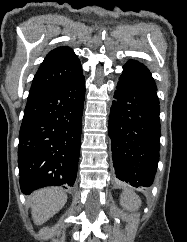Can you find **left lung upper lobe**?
Listing matches in <instances>:
<instances>
[{"mask_svg": "<svg viewBox=\"0 0 187 242\" xmlns=\"http://www.w3.org/2000/svg\"><path fill=\"white\" fill-rule=\"evenodd\" d=\"M123 74L139 80L150 87L156 88L155 81L149 71V69L142 63L136 60H129L123 66Z\"/></svg>", "mask_w": 187, "mask_h": 242, "instance_id": "1", "label": "left lung upper lobe"}]
</instances>
